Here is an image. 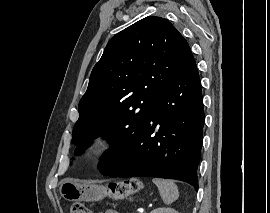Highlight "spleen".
Masks as SVG:
<instances>
[{"label": "spleen", "instance_id": "3e777b00", "mask_svg": "<svg viewBox=\"0 0 270 213\" xmlns=\"http://www.w3.org/2000/svg\"><path fill=\"white\" fill-rule=\"evenodd\" d=\"M153 183L157 186L163 202L172 204L179 197L177 185L172 180L153 178Z\"/></svg>", "mask_w": 270, "mask_h": 213}]
</instances>
